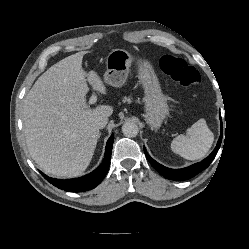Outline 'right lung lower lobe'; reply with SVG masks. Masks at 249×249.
<instances>
[{
    "mask_svg": "<svg viewBox=\"0 0 249 249\" xmlns=\"http://www.w3.org/2000/svg\"><path fill=\"white\" fill-rule=\"evenodd\" d=\"M114 141V135L112 134L107 141L106 148H105V157L101 165L96 168L93 172L85 175L83 177L77 179H66L60 180L55 178H50L47 175L42 174V176L55 187L65 190L67 192H83L87 190H91L95 188L97 185L101 183L104 177L107 174L110 159H111V151Z\"/></svg>",
    "mask_w": 249,
    "mask_h": 249,
    "instance_id": "obj_1",
    "label": "right lung lower lobe"
}]
</instances>
